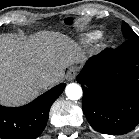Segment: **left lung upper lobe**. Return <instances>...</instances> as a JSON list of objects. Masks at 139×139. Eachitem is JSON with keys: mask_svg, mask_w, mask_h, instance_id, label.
<instances>
[{"mask_svg": "<svg viewBox=\"0 0 139 139\" xmlns=\"http://www.w3.org/2000/svg\"><path fill=\"white\" fill-rule=\"evenodd\" d=\"M122 32L125 39L139 38L136 33L130 28V26L125 22L122 23Z\"/></svg>", "mask_w": 139, "mask_h": 139, "instance_id": "left-lung-upper-lobe-1", "label": "left lung upper lobe"}]
</instances>
